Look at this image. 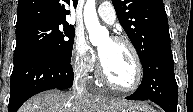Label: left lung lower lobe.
<instances>
[{"mask_svg":"<svg viewBox=\"0 0 193 112\" xmlns=\"http://www.w3.org/2000/svg\"><path fill=\"white\" fill-rule=\"evenodd\" d=\"M143 67V79L129 100H151L165 112H176L178 86L174 75V61L170 40L157 45L148 55Z\"/></svg>","mask_w":193,"mask_h":112,"instance_id":"left-lung-lower-lobe-1","label":"left lung lower lobe"}]
</instances>
